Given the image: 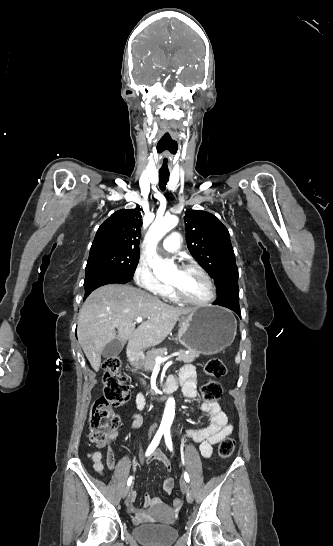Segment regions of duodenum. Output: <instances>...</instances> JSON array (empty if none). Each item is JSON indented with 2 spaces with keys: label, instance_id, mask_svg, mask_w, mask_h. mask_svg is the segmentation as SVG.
Here are the masks:
<instances>
[{
  "label": "duodenum",
  "instance_id": "1",
  "mask_svg": "<svg viewBox=\"0 0 333 546\" xmlns=\"http://www.w3.org/2000/svg\"><path fill=\"white\" fill-rule=\"evenodd\" d=\"M130 356L133 360L139 359V354L134 350H130ZM177 388V383L174 377H168L158 387L157 394H162L168 391H173Z\"/></svg>",
  "mask_w": 333,
  "mask_h": 546
}]
</instances>
